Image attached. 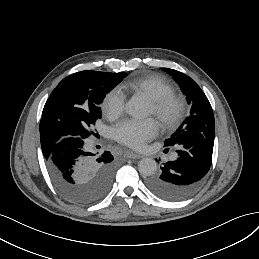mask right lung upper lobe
I'll use <instances>...</instances> for the list:
<instances>
[{"label":"right lung upper lobe","mask_w":259,"mask_h":259,"mask_svg":"<svg viewBox=\"0 0 259 259\" xmlns=\"http://www.w3.org/2000/svg\"><path fill=\"white\" fill-rule=\"evenodd\" d=\"M106 72L81 71L64 78L49 96L40 121V141L45 159L60 142L56 136V124L69 116L82 100L83 85L98 79Z\"/></svg>","instance_id":"1"}]
</instances>
